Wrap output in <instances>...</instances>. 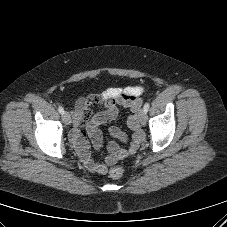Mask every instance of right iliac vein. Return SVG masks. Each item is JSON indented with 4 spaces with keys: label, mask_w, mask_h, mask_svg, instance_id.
Instances as JSON below:
<instances>
[{
    "label": "right iliac vein",
    "mask_w": 227,
    "mask_h": 227,
    "mask_svg": "<svg viewBox=\"0 0 227 227\" xmlns=\"http://www.w3.org/2000/svg\"><path fill=\"white\" fill-rule=\"evenodd\" d=\"M62 117H63V121L66 125H70L71 124V117H70V114L68 112H64L62 114Z\"/></svg>",
    "instance_id": "right-iliac-vein-1"
}]
</instances>
